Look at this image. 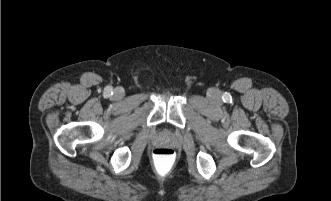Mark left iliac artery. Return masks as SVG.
I'll use <instances>...</instances> for the list:
<instances>
[{"label":"left iliac artery","instance_id":"1","mask_svg":"<svg viewBox=\"0 0 331 201\" xmlns=\"http://www.w3.org/2000/svg\"><path fill=\"white\" fill-rule=\"evenodd\" d=\"M223 99H224V100L228 99V96H227V95H224V96H223Z\"/></svg>","mask_w":331,"mask_h":201}]
</instances>
